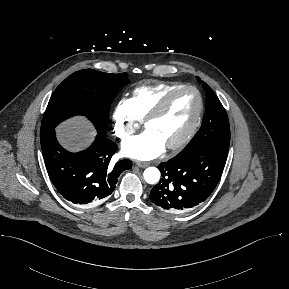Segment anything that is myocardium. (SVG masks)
<instances>
[{"mask_svg": "<svg viewBox=\"0 0 289 289\" xmlns=\"http://www.w3.org/2000/svg\"><path fill=\"white\" fill-rule=\"evenodd\" d=\"M184 91H193L196 93L198 97V109L195 118L185 135L176 143L166 146V149L169 151H176L186 146L198 131L204 112V99L199 89L192 85H182L181 87L170 91L144 119V127L146 128L150 122L157 120L165 113L175 96Z\"/></svg>", "mask_w": 289, "mask_h": 289, "instance_id": "f54148a6", "label": "myocardium"}]
</instances>
